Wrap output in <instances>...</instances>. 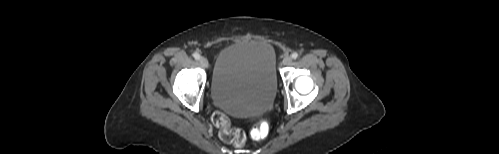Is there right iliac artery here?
<instances>
[{
	"label": "right iliac artery",
	"mask_w": 499,
	"mask_h": 154,
	"mask_svg": "<svg viewBox=\"0 0 499 154\" xmlns=\"http://www.w3.org/2000/svg\"><path fill=\"white\" fill-rule=\"evenodd\" d=\"M193 56H194V58H195L196 60H199V59H200V54H199V53H197V52H195V53L193 54Z\"/></svg>",
	"instance_id": "1"
}]
</instances>
